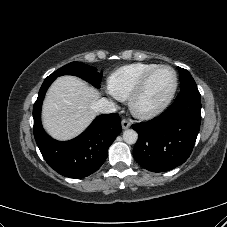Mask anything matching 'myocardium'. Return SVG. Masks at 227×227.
Returning <instances> with one entry per match:
<instances>
[{
    "label": "myocardium",
    "instance_id": "obj_1",
    "mask_svg": "<svg viewBox=\"0 0 227 227\" xmlns=\"http://www.w3.org/2000/svg\"><path fill=\"white\" fill-rule=\"evenodd\" d=\"M164 68L170 69L175 75V83L172 90L167 95V97L156 107L150 108V109L141 108L139 105V100L143 95L144 91L146 90L150 80L152 79V77L155 75L156 72ZM178 85H179V75L176 69L173 68L172 66L162 64L151 69L142 77V79L139 81V83L137 84V86L135 87V89L133 90V92L129 97V108L132 114L140 119H152L160 115L169 107V105L173 101L178 89Z\"/></svg>",
    "mask_w": 227,
    "mask_h": 227
}]
</instances>
